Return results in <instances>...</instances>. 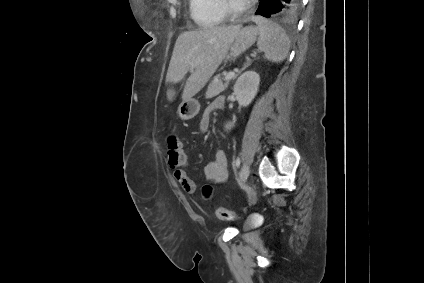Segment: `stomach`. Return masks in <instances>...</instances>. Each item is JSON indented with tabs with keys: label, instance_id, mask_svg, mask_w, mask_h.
I'll use <instances>...</instances> for the list:
<instances>
[{
	"label": "stomach",
	"instance_id": "stomach-1",
	"mask_svg": "<svg viewBox=\"0 0 424 283\" xmlns=\"http://www.w3.org/2000/svg\"><path fill=\"white\" fill-rule=\"evenodd\" d=\"M258 30L254 27L242 28L236 35L230 47V55L233 58L238 57L253 45L257 39ZM200 110L199 102L193 97L183 99L178 107L177 114L182 120H189L195 117Z\"/></svg>",
	"mask_w": 424,
	"mask_h": 283
}]
</instances>
